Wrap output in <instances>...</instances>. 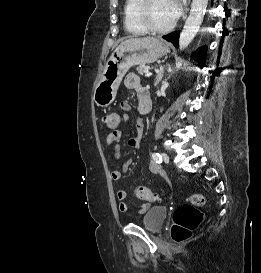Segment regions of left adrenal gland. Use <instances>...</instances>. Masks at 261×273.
<instances>
[{
  "label": "left adrenal gland",
  "instance_id": "1",
  "mask_svg": "<svg viewBox=\"0 0 261 273\" xmlns=\"http://www.w3.org/2000/svg\"><path fill=\"white\" fill-rule=\"evenodd\" d=\"M163 76H164V67L161 66L159 71H158L156 80H155V86H157L159 84V82H161Z\"/></svg>",
  "mask_w": 261,
  "mask_h": 273
}]
</instances>
